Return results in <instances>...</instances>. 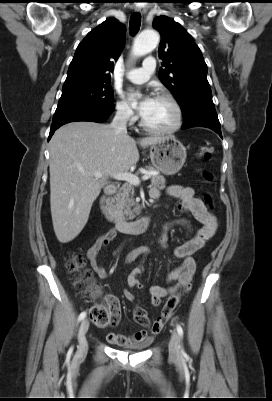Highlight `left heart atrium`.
I'll use <instances>...</instances> for the list:
<instances>
[{
	"instance_id": "left-heart-atrium-1",
	"label": "left heart atrium",
	"mask_w": 272,
	"mask_h": 401,
	"mask_svg": "<svg viewBox=\"0 0 272 401\" xmlns=\"http://www.w3.org/2000/svg\"><path fill=\"white\" fill-rule=\"evenodd\" d=\"M136 96H137V93L132 92L129 95V99L133 100L136 98ZM153 100H154V98L151 95H145L141 99L139 107H138V111L141 116H144L146 114V112L148 111L149 107L151 106Z\"/></svg>"
}]
</instances>
